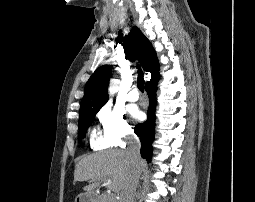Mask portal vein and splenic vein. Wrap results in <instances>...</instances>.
I'll return each instance as SVG.
<instances>
[{
  "label": "portal vein and splenic vein",
  "instance_id": "portal-vein-and-splenic-vein-1",
  "mask_svg": "<svg viewBox=\"0 0 255 202\" xmlns=\"http://www.w3.org/2000/svg\"><path fill=\"white\" fill-rule=\"evenodd\" d=\"M107 182L109 183V182H110V180L108 179V180H107Z\"/></svg>",
  "mask_w": 255,
  "mask_h": 202
}]
</instances>
